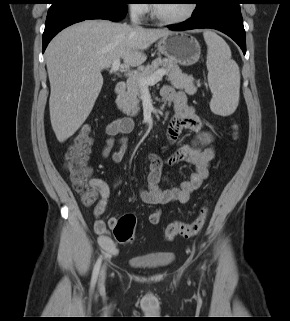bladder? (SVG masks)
I'll list each match as a JSON object with an SVG mask.
<instances>
[{
  "instance_id": "bladder-1",
  "label": "bladder",
  "mask_w": 290,
  "mask_h": 321,
  "mask_svg": "<svg viewBox=\"0 0 290 321\" xmlns=\"http://www.w3.org/2000/svg\"><path fill=\"white\" fill-rule=\"evenodd\" d=\"M173 259V253H164L154 256L131 257L128 262L137 268H163L168 266Z\"/></svg>"
}]
</instances>
